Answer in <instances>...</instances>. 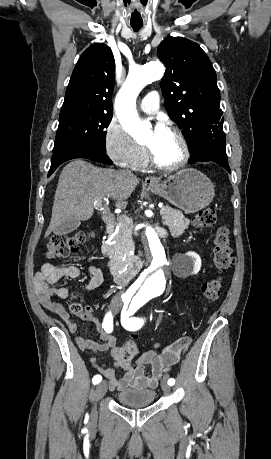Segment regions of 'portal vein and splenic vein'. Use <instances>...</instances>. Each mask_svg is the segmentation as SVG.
<instances>
[{"mask_svg": "<svg viewBox=\"0 0 271 459\" xmlns=\"http://www.w3.org/2000/svg\"><path fill=\"white\" fill-rule=\"evenodd\" d=\"M160 216L162 217V219H161L162 221H163L164 219H167V218H168V214H161Z\"/></svg>", "mask_w": 271, "mask_h": 459, "instance_id": "18ae733b", "label": "portal vein and splenic vein"}]
</instances>
